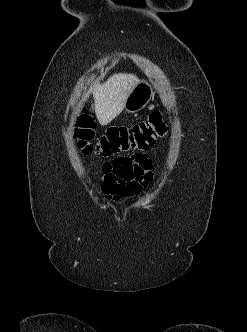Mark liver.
Returning a JSON list of instances; mask_svg holds the SVG:
<instances>
[{"label": "liver", "instance_id": "obj_1", "mask_svg": "<svg viewBox=\"0 0 247 332\" xmlns=\"http://www.w3.org/2000/svg\"><path fill=\"white\" fill-rule=\"evenodd\" d=\"M138 82L133 74L118 73L93 88L95 113L101 125L109 124L122 112L128 95Z\"/></svg>", "mask_w": 247, "mask_h": 332}]
</instances>
